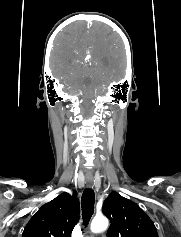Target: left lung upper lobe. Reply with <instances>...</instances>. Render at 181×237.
Wrapping results in <instances>:
<instances>
[{
  "label": "left lung upper lobe",
  "instance_id": "1",
  "mask_svg": "<svg viewBox=\"0 0 181 237\" xmlns=\"http://www.w3.org/2000/svg\"><path fill=\"white\" fill-rule=\"evenodd\" d=\"M102 211L111 221L107 237H158L149 216L135 202L115 191L104 201Z\"/></svg>",
  "mask_w": 181,
  "mask_h": 237
}]
</instances>
